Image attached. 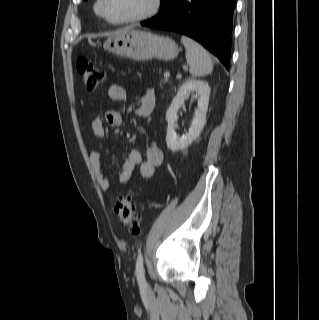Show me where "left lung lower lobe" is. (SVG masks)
<instances>
[{
    "instance_id": "obj_1",
    "label": "left lung lower lobe",
    "mask_w": 319,
    "mask_h": 320,
    "mask_svg": "<svg viewBox=\"0 0 319 320\" xmlns=\"http://www.w3.org/2000/svg\"><path fill=\"white\" fill-rule=\"evenodd\" d=\"M235 0H164L161 12L143 26L187 35L229 69Z\"/></svg>"
}]
</instances>
